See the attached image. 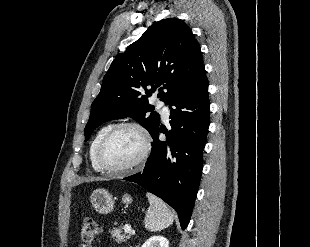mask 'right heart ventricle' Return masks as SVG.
<instances>
[{"mask_svg":"<svg viewBox=\"0 0 310 247\" xmlns=\"http://www.w3.org/2000/svg\"><path fill=\"white\" fill-rule=\"evenodd\" d=\"M113 127L112 124H108L105 125L104 127H102L95 135V137L93 138L90 148H89V159L91 162L92 167L94 168V170L96 171H101V169L98 167L96 160H95V154H96V149L97 146L99 144V142L101 141V139L103 138V136L107 133L108 130H110Z\"/></svg>","mask_w":310,"mask_h":247,"instance_id":"e07e8e85","label":"right heart ventricle"}]
</instances>
